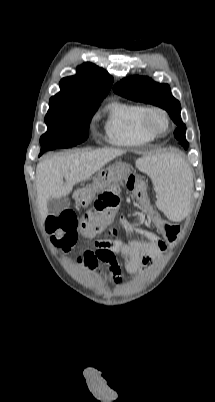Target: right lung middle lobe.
Returning a JSON list of instances; mask_svg holds the SVG:
<instances>
[{
	"instance_id": "dd1d6c3e",
	"label": "right lung middle lobe",
	"mask_w": 215,
	"mask_h": 402,
	"mask_svg": "<svg viewBox=\"0 0 215 402\" xmlns=\"http://www.w3.org/2000/svg\"><path fill=\"white\" fill-rule=\"evenodd\" d=\"M103 98L50 100L45 116L48 130L40 138L41 152L73 147L88 138L89 124Z\"/></svg>"
}]
</instances>
